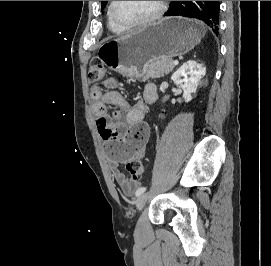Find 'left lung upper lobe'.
<instances>
[{"label":"left lung upper lobe","mask_w":271,"mask_h":266,"mask_svg":"<svg viewBox=\"0 0 271 266\" xmlns=\"http://www.w3.org/2000/svg\"><path fill=\"white\" fill-rule=\"evenodd\" d=\"M107 2L108 1H101V7H102V9L105 7V5H106Z\"/></svg>","instance_id":"1"}]
</instances>
